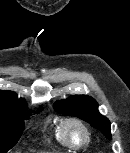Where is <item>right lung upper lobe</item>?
I'll use <instances>...</instances> for the list:
<instances>
[{
	"mask_svg": "<svg viewBox=\"0 0 130 153\" xmlns=\"http://www.w3.org/2000/svg\"><path fill=\"white\" fill-rule=\"evenodd\" d=\"M26 102L18 99L16 93L0 90V112L17 113L25 109Z\"/></svg>",
	"mask_w": 130,
	"mask_h": 153,
	"instance_id": "cb5924a9",
	"label": "right lung upper lobe"
}]
</instances>
